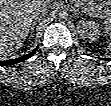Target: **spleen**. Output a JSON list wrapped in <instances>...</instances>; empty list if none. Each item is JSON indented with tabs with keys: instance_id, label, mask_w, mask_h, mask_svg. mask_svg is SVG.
<instances>
[{
	"instance_id": "spleen-1",
	"label": "spleen",
	"mask_w": 111,
	"mask_h": 106,
	"mask_svg": "<svg viewBox=\"0 0 111 106\" xmlns=\"http://www.w3.org/2000/svg\"><path fill=\"white\" fill-rule=\"evenodd\" d=\"M104 31L110 36L111 39V19L105 22ZM108 50L111 52V43L108 46Z\"/></svg>"
}]
</instances>
